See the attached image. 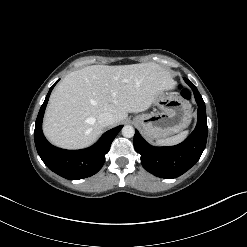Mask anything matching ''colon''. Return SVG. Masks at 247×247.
I'll use <instances>...</instances> for the list:
<instances>
[{
	"label": "colon",
	"instance_id": "1",
	"mask_svg": "<svg viewBox=\"0 0 247 247\" xmlns=\"http://www.w3.org/2000/svg\"><path fill=\"white\" fill-rule=\"evenodd\" d=\"M182 95L187 98L189 96V93L186 90H182Z\"/></svg>",
	"mask_w": 247,
	"mask_h": 247
}]
</instances>
